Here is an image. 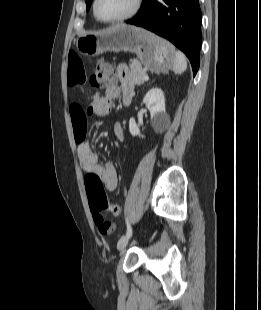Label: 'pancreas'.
Listing matches in <instances>:
<instances>
[{
    "label": "pancreas",
    "instance_id": "1",
    "mask_svg": "<svg viewBox=\"0 0 261 310\" xmlns=\"http://www.w3.org/2000/svg\"><path fill=\"white\" fill-rule=\"evenodd\" d=\"M131 75H130V84L132 85H141L145 82L143 76L146 75L145 70L142 69L141 64L138 62H132L130 64Z\"/></svg>",
    "mask_w": 261,
    "mask_h": 310
}]
</instances>
